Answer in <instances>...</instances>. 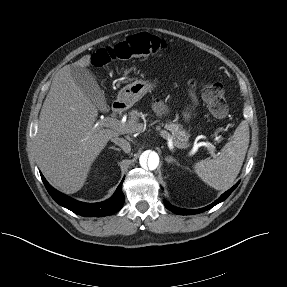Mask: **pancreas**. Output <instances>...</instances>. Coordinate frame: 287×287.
<instances>
[{
    "mask_svg": "<svg viewBox=\"0 0 287 287\" xmlns=\"http://www.w3.org/2000/svg\"><path fill=\"white\" fill-rule=\"evenodd\" d=\"M146 114H143L142 112H139L138 110H132L129 113V120L125 124L126 131L128 132H138L141 131L139 123L140 118H145ZM163 125V123H161ZM164 128L171 132V137L173 138L174 143L177 145L179 144H185L188 142L190 134L183 129L182 125L177 122V120H167L164 124Z\"/></svg>",
    "mask_w": 287,
    "mask_h": 287,
    "instance_id": "pancreas-1",
    "label": "pancreas"
}]
</instances>
